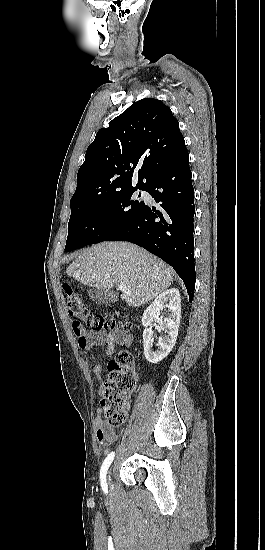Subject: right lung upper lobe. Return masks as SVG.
<instances>
[{"mask_svg":"<svg viewBox=\"0 0 265 550\" xmlns=\"http://www.w3.org/2000/svg\"><path fill=\"white\" fill-rule=\"evenodd\" d=\"M186 149L169 107L144 98L102 128L86 151L71 199L89 200L131 189H146ZM138 172V180L135 169ZM132 184H136L133 187Z\"/></svg>","mask_w":265,"mask_h":550,"instance_id":"right-lung-upper-lobe-1","label":"right lung upper lobe"}]
</instances>
